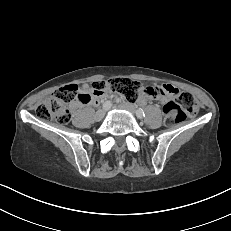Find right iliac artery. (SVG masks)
<instances>
[{
	"label": "right iliac artery",
	"instance_id": "obj_1",
	"mask_svg": "<svg viewBox=\"0 0 231 231\" xmlns=\"http://www.w3.org/2000/svg\"><path fill=\"white\" fill-rule=\"evenodd\" d=\"M112 106V102L111 101H106L104 104H103V109L105 110H108L110 109Z\"/></svg>",
	"mask_w": 231,
	"mask_h": 231
}]
</instances>
